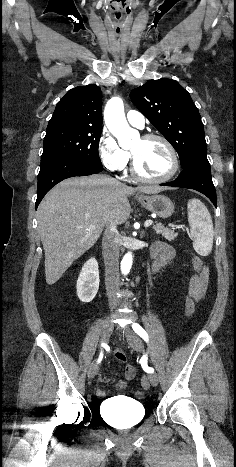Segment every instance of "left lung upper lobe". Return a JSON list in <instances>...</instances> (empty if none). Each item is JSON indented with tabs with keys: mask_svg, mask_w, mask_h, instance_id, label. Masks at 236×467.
I'll return each mask as SVG.
<instances>
[{
	"mask_svg": "<svg viewBox=\"0 0 236 467\" xmlns=\"http://www.w3.org/2000/svg\"><path fill=\"white\" fill-rule=\"evenodd\" d=\"M130 98L175 148L182 168L193 159L206 156L199 111L190 94L177 81L167 78L149 80L133 89Z\"/></svg>",
	"mask_w": 236,
	"mask_h": 467,
	"instance_id": "5c2ea615",
	"label": "left lung upper lobe"
}]
</instances>
